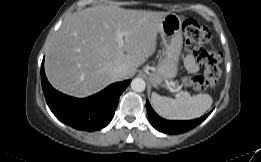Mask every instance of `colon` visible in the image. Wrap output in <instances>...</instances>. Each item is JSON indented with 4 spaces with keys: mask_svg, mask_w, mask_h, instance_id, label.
<instances>
[{
    "mask_svg": "<svg viewBox=\"0 0 261 162\" xmlns=\"http://www.w3.org/2000/svg\"><path fill=\"white\" fill-rule=\"evenodd\" d=\"M183 32L187 49L194 54L197 61L203 67V73L195 77H185L183 84L197 90H206L217 84L222 71L219 67L221 54L206 49L211 39L210 30L200 25L193 18H187L183 22Z\"/></svg>",
    "mask_w": 261,
    "mask_h": 162,
    "instance_id": "1",
    "label": "colon"
}]
</instances>
